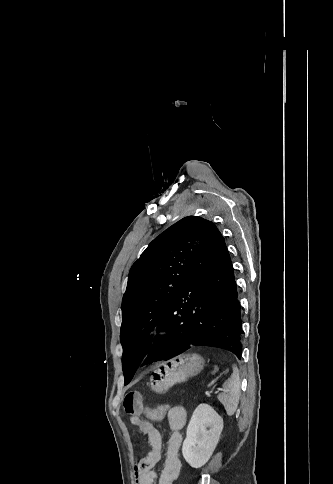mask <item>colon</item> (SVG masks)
Returning <instances> with one entry per match:
<instances>
[{"label": "colon", "instance_id": "colon-1", "mask_svg": "<svg viewBox=\"0 0 333 484\" xmlns=\"http://www.w3.org/2000/svg\"><path fill=\"white\" fill-rule=\"evenodd\" d=\"M172 406L164 404L158 407H147V417L150 420H160L170 409Z\"/></svg>", "mask_w": 333, "mask_h": 484}]
</instances>
